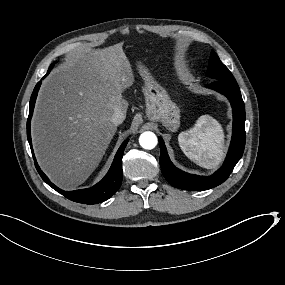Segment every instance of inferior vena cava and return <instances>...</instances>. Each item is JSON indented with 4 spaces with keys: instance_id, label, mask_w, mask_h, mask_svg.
<instances>
[{
    "instance_id": "1",
    "label": "inferior vena cava",
    "mask_w": 285,
    "mask_h": 285,
    "mask_svg": "<svg viewBox=\"0 0 285 285\" xmlns=\"http://www.w3.org/2000/svg\"><path fill=\"white\" fill-rule=\"evenodd\" d=\"M125 118V113L122 112L121 110H116L111 118V121L115 125H119L122 123V121Z\"/></svg>"
}]
</instances>
